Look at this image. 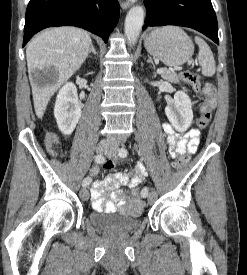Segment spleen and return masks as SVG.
I'll use <instances>...</instances> for the list:
<instances>
[{"instance_id":"3e777b00","label":"spleen","mask_w":247,"mask_h":275,"mask_svg":"<svg viewBox=\"0 0 247 275\" xmlns=\"http://www.w3.org/2000/svg\"><path fill=\"white\" fill-rule=\"evenodd\" d=\"M195 43L199 47L198 59L202 74L207 77L213 76L216 71V64L210 47L200 37H195Z\"/></svg>"}]
</instances>
